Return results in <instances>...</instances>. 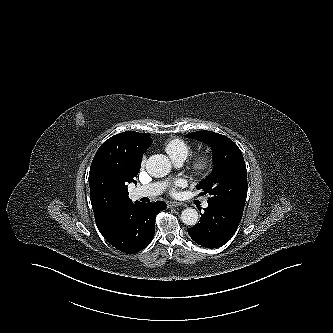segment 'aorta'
Masks as SVG:
<instances>
[{
  "label": "aorta",
  "instance_id": "762f6f07",
  "mask_svg": "<svg viewBox=\"0 0 333 333\" xmlns=\"http://www.w3.org/2000/svg\"><path fill=\"white\" fill-rule=\"evenodd\" d=\"M171 162L163 154H155L148 158L146 162L147 172L156 178L168 175L171 171ZM199 215L196 209L186 208L181 213V220L185 225L193 226L198 222Z\"/></svg>",
  "mask_w": 333,
  "mask_h": 333
}]
</instances>
